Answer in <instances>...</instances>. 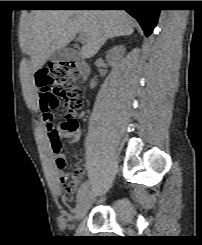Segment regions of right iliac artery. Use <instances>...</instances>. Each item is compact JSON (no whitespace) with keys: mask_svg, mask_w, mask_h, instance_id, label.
<instances>
[{"mask_svg":"<svg viewBox=\"0 0 202 245\" xmlns=\"http://www.w3.org/2000/svg\"><path fill=\"white\" fill-rule=\"evenodd\" d=\"M88 186H89V181H85L81 185V187L79 188V190L77 192V199H79L83 194L86 193Z\"/></svg>","mask_w":202,"mask_h":245,"instance_id":"1","label":"right iliac artery"}]
</instances>
